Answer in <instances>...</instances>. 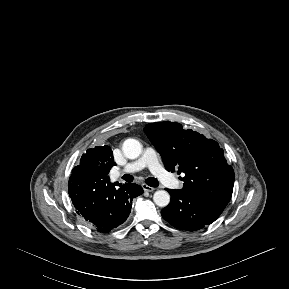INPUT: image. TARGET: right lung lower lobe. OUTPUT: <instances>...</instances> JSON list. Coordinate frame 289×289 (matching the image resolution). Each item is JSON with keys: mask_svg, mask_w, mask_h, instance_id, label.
Here are the masks:
<instances>
[{"mask_svg": "<svg viewBox=\"0 0 289 289\" xmlns=\"http://www.w3.org/2000/svg\"><path fill=\"white\" fill-rule=\"evenodd\" d=\"M115 185L76 169L69 178L68 192L77 213L100 233L121 225L130 214L132 200L143 193L135 183Z\"/></svg>", "mask_w": 289, "mask_h": 289, "instance_id": "obj_1", "label": "right lung lower lobe"}]
</instances>
